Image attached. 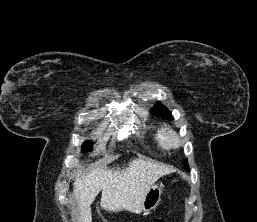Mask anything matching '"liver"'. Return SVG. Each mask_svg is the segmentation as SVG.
Listing matches in <instances>:
<instances>
[{
	"label": "liver",
	"instance_id": "liver-1",
	"mask_svg": "<svg viewBox=\"0 0 257 222\" xmlns=\"http://www.w3.org/2000/svg\"><path fill=\"white\" fill-rule=\"evenodd\" d=\"M170 166L156 161L133 159L122 169L98 167L87 174L78 170L74 194L80 209L78 222H92L91 204L102 191L101 208L108 212H142L144 198L152 185L162 176L174 172Z\"/></svg>",
	"mask_w": 257,
	"mask_h": 222
}]
</instances>
